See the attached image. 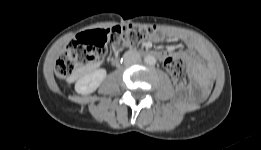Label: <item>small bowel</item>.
<instances>
[{
	"mask_svg": "<svg viewBox=\"0 0 261 150\" xmlns=\"http://www.w3.org/2000/svg\"><path fill=\"white\" fill-rule=\"evenodd\" d=\"M165 37L172 38L175 40H180L185 43L188 50L183 52H174L172 50H163L158 52V58L164 62V65L167 69V62L170 59H175V57H181L183 59H187L192 61L195 64V68L200 71L201 65L195 61V58L192 56V51H200L201 46L200 43L191 35L178 32L175 30H165V31H157L151 36V40L153 42H159L163 40ZM146 46H150V42L146 43Z\"/></svg>",
	"mask_w": 261,
	"mask_h": 150,
	"instance_id": "small-bowel-1",
	"label": "small bowel"
}]
</instances>
